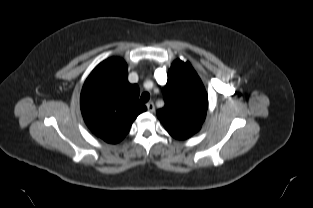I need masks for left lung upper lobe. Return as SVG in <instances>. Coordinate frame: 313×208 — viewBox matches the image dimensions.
<instances>
[{
	"label": "left lung upper lobe",
	"mask_w": 313,
	"mask_h": 208,
	"mask_svg": "<svg viewBox=\"0 0 313 208\" xmlns=\"http://www.w3.org/2000/svg\"><path fill=\"white\" fill-rule=\"evenodd\" d=\"M163 94L165 106L157 116L168 133L181 140L197 133L206 117L208 95L189 62H173Z\"/></svg>",
	"instance_id": "1"
}]
</instances>
